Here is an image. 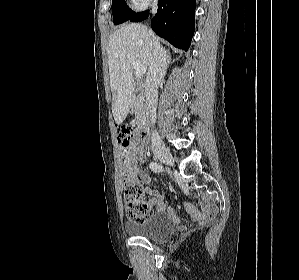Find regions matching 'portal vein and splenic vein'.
<instances>
[{
  "label": "portal vein and splenic vein",
  "instance_id": "18ae733b",
  "mask_svg": "<svg viewBox=\"0 0 299 280\" xmlns=\"http://www.w3.org/2000/svg\"><path fill=\"white\" fill-rule=\"evenodd\" d=\"M132 67L135 70V75L140 77L146 73V69L142 66V64L136 60L131 61Z\"/></svg>",
  "mask_w": 299,
  "mask_h": 280
}]
</instances>
